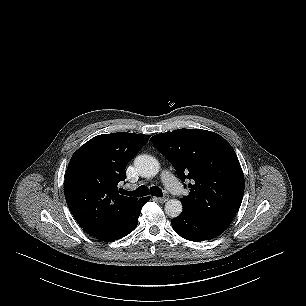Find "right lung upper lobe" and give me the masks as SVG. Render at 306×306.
I'll return each mask as SVG.
<instances>
[{
	"instance_id": "right-lung-upper-lobe-1",
	"label": "right lung upper lobe",
	"mask_w": 306,
	"mask_h": 306,
	"mask_svg": "<svg viewBox=\"0 0 306 306\" xmlns=\"http://www.w3.org/2000/svg\"><path fill=\"white\" fill-rule=\"evenodd\" d=\"M149 135L127 132L98 135L72 156L65 175V198L78 224L105 240L127 220L140 199L118 194L126 166Z\"/></svg>"
}]
</instances>
